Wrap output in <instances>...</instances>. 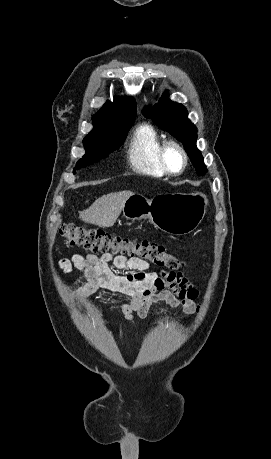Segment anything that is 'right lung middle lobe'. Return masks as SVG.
<instances>
[{
	"mask_svg": "<svg viewBox=\"0 0 271 459\" xmlns=\"http://www.w3.org/2000/svg\"><path fill=\"white\" fill-rule=\"evenodd\" d=\"M133 121L116 120L94 123L93 130L83 140L86 154L77 162L76 168L97 162L119 148Z\"/></svg>",
	"mask_w": 271,
	"mask_h": 459,
	"instance_id": "dd1d6c3e",
	"label": "right lung middle lobe"
}]
</instances>
